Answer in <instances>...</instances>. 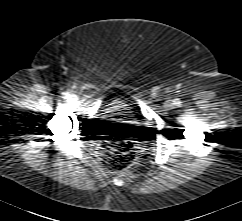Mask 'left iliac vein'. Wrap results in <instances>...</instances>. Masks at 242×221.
<instances>
[{"label":"left iliac vein","instance_id":"obj_1","mask_svg":"<svg viewBox=\"0 0 242 221\" xmlns=\"http://www.w3.org/2000/svg\"><path fill=\"white\" fill-rule=\"evenodd\" d=\"M172 104V100L167 101V105L170 106Z\"/></svg>","mask_w":242,"mask_h":221}]
</instances>
